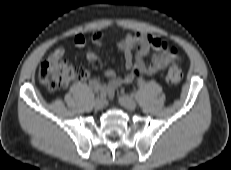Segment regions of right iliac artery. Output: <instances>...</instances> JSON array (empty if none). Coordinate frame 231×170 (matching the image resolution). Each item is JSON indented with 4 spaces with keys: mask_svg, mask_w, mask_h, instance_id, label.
Masks as SVG:
<instances>
[{
    "mask_svg": "<svg viewBox=\"0 0 231 170\" xmlns=\"http://www.w3.org/2000/svg\"><path fill=\"white\" fill-rule=\"evenodd\" d=\"M105 97H106V93H105V92L100 91V92L98 93V98L104 99Z\"/></svg>",
    "mask_w": 231,
    "mask_h": 170,
    "instance_id": "1",
    "label": "right iliac artery"
}]
</instances>
